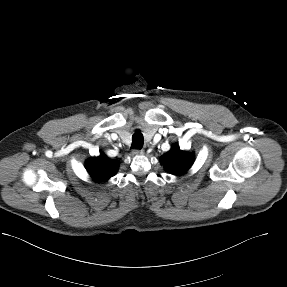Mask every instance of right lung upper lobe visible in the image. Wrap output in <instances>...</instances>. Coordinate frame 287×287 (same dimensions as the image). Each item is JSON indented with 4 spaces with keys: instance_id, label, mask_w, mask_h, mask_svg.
<instances>
[{
    "instance_id": "obj_1",
    "label": "right lung upper lobe",
    "mask_w": 287,
    "mask_h": 287,
    "mask_svg": "<svg viewBox=\"0 0 287 287\" xmlns=\"http://www.w3.org/2000/svg\"><path fill=\"white\" fill-rule=\"evenodd\" d=\"M118 167L119 162L108 159L103 152L86 161V170L95 181L106 182L116 174Z\"/></svg>"
}]
</instances>
